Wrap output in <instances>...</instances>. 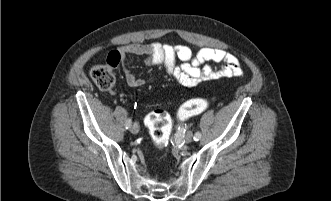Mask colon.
<instances>
[{
    "instance_id": "5ec220e1",
    "label": "colon",
    "mask_w": 331,
    "mask_h": 201,
    "mask_svg": "<svg viewBox=\"0 0 331 201\" xmlns=\"http://www.w3.org/2000/svg\"><path fill=\"white\" fill-rule=\"evenodd\" d=\"M112 67L113 64H100L91 69V78L101 90L108 91L114 86L115 79ZM208 107L209 101L204 98L189 100L180 107L177 118L179 120L187 119L205 111ZM146 124L156 145L164 146L173 129L170 115L164 110L152 111L146 118Z\"/></svg>"
}]
</instances>
